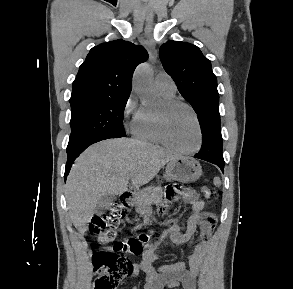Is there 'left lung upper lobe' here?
I'll list each match as a JSON object with an SVG mask.
<instances>
[{"mask_svg": "<svg viewBox=\"0 0 293 289\" xmlns=\"http://www.w3.org/2000/svg\"><path fill=\"white\" fill-rule=\"evenodd\" d=\"M159 56L165 71L197 113L201 130L220 126L217 79L200 49L190 43L168 41L160 47ZM221 156L222 152L213 158Z\"/></svg>", "mask_w": 293, "mask_h": 289, "instance_id": "5c2ea615", "label": "left lung upper lobe"}]
</instances>
